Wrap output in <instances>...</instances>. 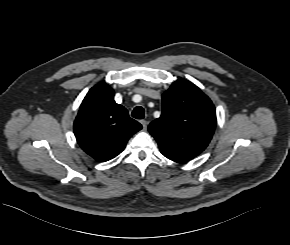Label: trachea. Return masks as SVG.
Returning <instances> with one entry per match:
<instances>
[{
  "mask_svg": "<svg viewBox=\"0 0 290 245\" xmlns=\"http://www.w3.org/2000/svg\"><path fill=\"white\" fill-rule=\"evenodd\" d=\"M144 114H145L144 109L141 106L135 107L134 110L132 111V117L136 119H143Z\"/></svg>",
  "mask_w": 290,
  "mask_h": 245,
  "instance_id": "obj_1",
  "label": "trachea"
}]
</instances>
